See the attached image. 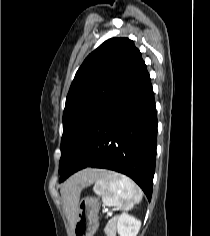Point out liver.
Returning a JSON list of instances; mask_svg holds the SVG:
<instances>
[{
    "mask_svg": "<svg viewBox=\"0 0 210 236\" xmlns=\"http://www.w3.org/2000/svg\"><path fill=\"white\" fill-rule=\"evenodd\" d=\"M105 171L100 169H85L71 176L61 187L64 208L70 224L75 225L79 198L82 189L91 185Z\"/></svg>",
    "mask_w": 210,
    "mask_h": 236,
    "instance_id": "1",
    "label": "liver"
}]
</instances>
